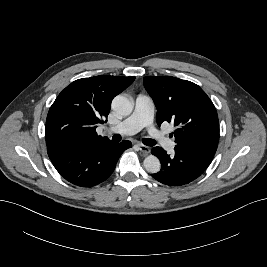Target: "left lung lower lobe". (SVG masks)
<instances>
[{"instance_id": "0a47b994", "label": "left lung lower lobe", "mask_w": 267, "mask_h": 267, "mask_svg": "<svg viewBox=\"0 0 267 267\" xmlns=\"http://www.w3.org/2000/svg\"><path fill=\"white\" fill-rule=\"evenodd\" d=\"M174 150L172 156L161 147H154L151 151L161 162V170L152 177L169 186H181L192 182L207 169L214 156L189 147L175 146Z\"/></svg>"}]
</instances>
